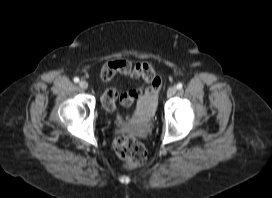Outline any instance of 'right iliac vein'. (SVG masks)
Wrapping results in <instances>:
<instances>
[{
    "label": "right iliac vein",
    "instance_id": "right-iliac-vein-1",
    "mask_svg": "<svg viewBox=\"0 0 272 198\" xmlns=\"http://www.w3.org/2000/svg\"><path fill=\"white\" fill-rule=\"evenodd\" d=\"M79 86H80V88H82V89H87V88H88V83H87L86 81H84V80H81V81L79 82Z\"/></svg>",
    "mask_w": 272,
    "mask_h": 198
}]
</instances>
